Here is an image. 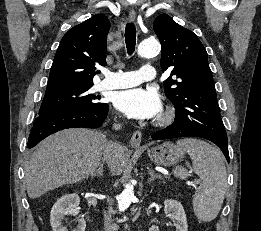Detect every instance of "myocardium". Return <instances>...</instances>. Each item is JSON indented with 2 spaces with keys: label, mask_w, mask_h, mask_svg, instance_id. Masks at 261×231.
<instances>
[{
  "label": "myocardium",
  "mask_w": 261,
  "mask_h": 231,
  "mask_svg": "<svg viewBox=\"0 0 261 231\" xmlns=\"http://www.w3.org/2000/svg\"><path fill=\"white\" fill-rule=\"evenodd\" d=\"M175 118V110L172 106H166L155 120L156 126H167L173 122Z\"/></svg>",
  "instance_id": "myocardium-1"
}]
</instances>
